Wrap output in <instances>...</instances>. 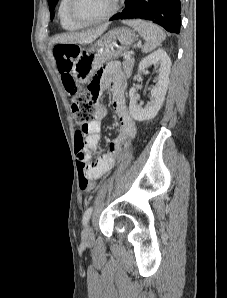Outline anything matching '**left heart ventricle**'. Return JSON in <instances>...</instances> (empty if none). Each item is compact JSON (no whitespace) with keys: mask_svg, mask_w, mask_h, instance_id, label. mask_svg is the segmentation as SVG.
Segmentation results:
<instances>
[{"mask_svg":"<svg viewBox=\"0 0 227 298\" xmlns=\"http://www.w3.org/2000/svg\"><path fill=\"white\" fill-rule=\"evenodd\" d=\"M113 0H75L73 12L81 20H94L109 11Z\"/></svg>","mask_w":227,"mask_h":298,"instance_id":"obj_1","label":"left heart ventricle"}]
</instances>
